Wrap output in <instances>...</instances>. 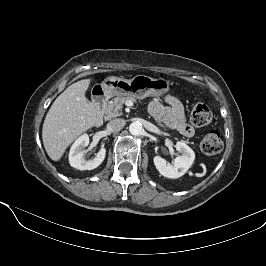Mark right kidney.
I'll return each mask as SVG.
<instances>
[{"label":"right kidney","mask_w":266,"mask_h":266,"mask_svg":"<svg viewBox=\"0 0 266 266\" xmlns=\"http://www.w3.org/2000/svg\"><path fill=\"white\" fill-rule=\"evenodd\" d=\"M89 144V136L83 134L76 139L69 152V163L73 168L79 170H93L105 159L106 149L101 148L96 156L87 160L85 158V147Z\"/></svg>","instance_id":"1"}]
</instances>
